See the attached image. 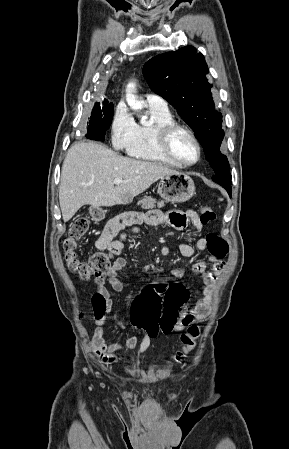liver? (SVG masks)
<instances>
[{"mask_svg": "<svg viewBox=\"0 0 289 449\" xmlns=\"http://www.w3.org/2000/svg\"><path fill=\"white\" fill-rule=\"evenodd\" d=\"M176 170L164 165L124 157L93 142H77L68 150L59 185L64 222L83 205L93 207L129 204L159 179ZM126 183L114 186V179Z\"/></svg>", "mask_w": 289, "mask_h": 449, "instance_id": "obj_1", "label": "liver"}]
</instances>
